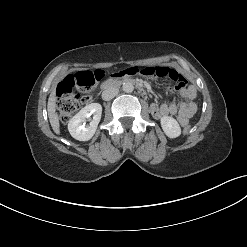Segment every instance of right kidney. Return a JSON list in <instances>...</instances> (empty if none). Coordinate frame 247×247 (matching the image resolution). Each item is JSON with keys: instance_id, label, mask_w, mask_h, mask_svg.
I'll return each mask as SVG.
<instances>
[{"instance_id": "ca27d5eb", "label": "right kidney", "mask_w": 247, "mask_h": 247, "mask_svg": "<svg viewBox=\"0 0 247 247\" xmlns=\"http://www.w3.org/2000/svg\"><path fill=\"white\" fill-rule=\"evenodd\" d=\"M102 114V106L99 103H91L82 108L68 123L69 133L73 138L79 141L90 140L96 132ZM93 115L89 125L83 122L86 118Z\"/></svg>"}]
</instances>
